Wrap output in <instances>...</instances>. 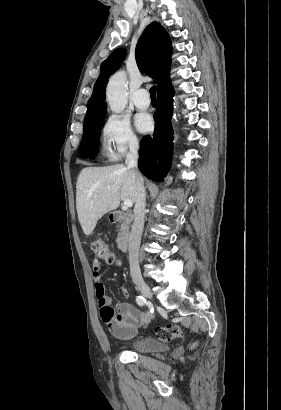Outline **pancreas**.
Segmentation results:
<instances>
[{"label":"pancreas","mask_w":281,"mask_h":410,"mask_svg":"<svg viewBox=\"0 0 281 410\" xmlns=\"http://www.w3.org/2000/svg\"><path fill=\"white\" fill-rule=\"evenodd\" d=\"M121 225L118 232L117 243L121 245L124 240L127 238L129 231L130 215L123 214L121 215Z\"/></svg>","instance_id":"cf45deb5"}]
</instances>
